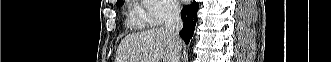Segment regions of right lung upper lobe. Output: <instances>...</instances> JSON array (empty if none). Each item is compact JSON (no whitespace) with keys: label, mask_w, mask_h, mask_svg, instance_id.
<instances>
[{"label":"right lung upper lobe","mask_w":331,"mask_h":62,"mask_svg":"<svg viewBox=\"0 0 331 62\" xmlns=\"http://www.w3.org/2000/svg\"><path fill=\"white\" fill-rule=\"evenodd\" d=\"M121 1H122V0H117V3H118V2H121Z\"/></svg>","instance_id":"cb5924a9"}]
</instances>
